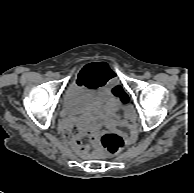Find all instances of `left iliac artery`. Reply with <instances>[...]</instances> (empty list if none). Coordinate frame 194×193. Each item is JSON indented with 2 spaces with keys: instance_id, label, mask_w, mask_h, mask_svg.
I'll use <instances>...</instances> for the list:
<instances>
[{
  "instance_id": "44dca946",
  "label": "left iliac artery",
  "mask_w": 194,
  "mask_h": 193,
  "mask_svg": "<svg viewBox=\"0 0 194 193\" xmlns=\"http://www.w3.org/2000/svg\"><path fill=\"white\" fill-rule=\"evenodd\" d=\"M151 74L149 72L145 73L146 78H150Z\"/></svg>"
}]
</instances>
